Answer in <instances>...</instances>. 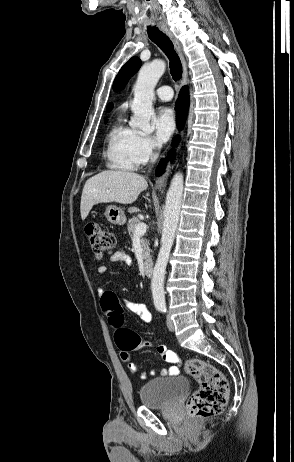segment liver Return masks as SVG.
Instances as JSON below:
<instances>
[{
	"label": "liver",
	"mask_w": 294,
	"mask_h": 462,
	"mask_svg": "<svg viewBox=\"0 0 294 462\" xmlns=\"http://www.w3.org/2000/svg\"><path fill=\"white\" fill-rule=\"evenodd\" d=\"M148 187L145 177L128 171H103L89 178L83 188L80 204L85 220L95 204L116 202L132 204Z\"/></svg>",
	"instance_id": "1"
}]
</instances>
